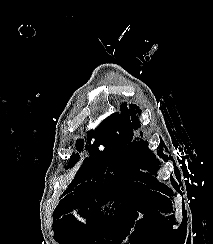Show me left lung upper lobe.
Listing matches in <instances>:
<instances>
[{
  "label": "left lung upper lobe",
  "instance_id": "5c2ea615",
  "mask_svg": "<svg viewBox=\"0 0 213 244\" xmlns=\"http://www.w3.org/2000/svg\"><path fill=\"white\" fill-rule=\"evenodd\" d=\"M127 103L121 106V115H111L113 125L119 130V134L126 138L128 147L133 151L137 158V166L141 169L148 170L152 174H156L159 169L160 161L158 156L148 149V142L141 138L133 140V130L140 127L137 114H141V110L135 104Z\"/></svg>",
  "mask_w": 213,
  "mask_h": 244
}]
</instances>
